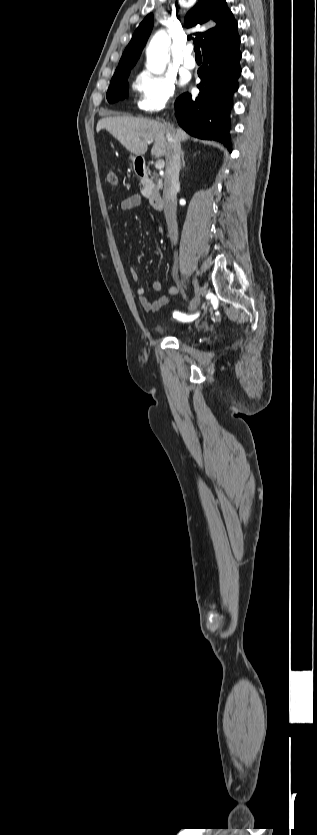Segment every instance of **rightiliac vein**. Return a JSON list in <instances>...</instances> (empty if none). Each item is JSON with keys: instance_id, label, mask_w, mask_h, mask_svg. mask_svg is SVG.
Segmentation results:
<instances>
[{"instance_id": "1", "label": "right iliac vein", "mask_w": 317, "mask_h": 835, "mask_svg": "<svg viewBox=\"0 0 317 835\" xmlns=\"http://www.w3.org/2000/svg\"><path fill=\"white\" fill-rule=\"evenodd\" d=\"M194 286H195L196 297L193 299V302L195 303V306H198L199 297L203 294V289L199 286L197 280H194ZM190 309H194V306H191Z\"/></svg>"}]
</instances>
